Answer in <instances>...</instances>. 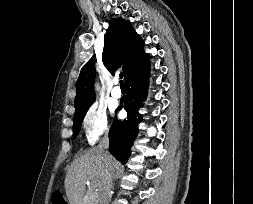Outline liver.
I'll return each mask as SVG.
<instances>
[{
  "mask_svg": "<svg viewBox=\"0 0 253 204\" xmlns=\"http://www.w3.org/2000/svg\"><path fill=\"white\" fill-rule=\"evenodd\" d=\"M104 173V156L98 147L89 149L84 155L77 158L65 177V190L69 204H83L86 182L95 179L101 181Z\"/></svg>",
  "mask_w": 253,
  "mask_h": 204,
  "instance_id": "6515ba94",
  "label": "liver"
}]
</instances>
